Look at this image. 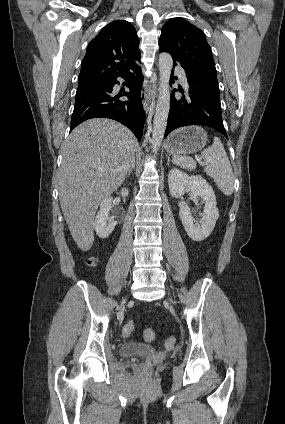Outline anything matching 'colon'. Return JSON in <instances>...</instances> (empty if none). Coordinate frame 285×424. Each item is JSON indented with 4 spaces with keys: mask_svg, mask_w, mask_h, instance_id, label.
<instances>
[{
    "mask_svg": "<svg viewBox=\"0 0 285 424\" xmlns=\"http://www.w3.org/2000/svg\"><path fill=\"white\" fill-rule=\"evenodd\" d=\"M90 266H95L97 261L96 259L92 258L89 260ZM135 325L133 321L127 322L123 327V335L124 336H130L134 331ZM143 337L146 341H152L155 337L154 330L152 328H146L143 332ZM166 344L168 346H173L175 344V338L174 337H168L166 340Z\"/></svg>",
    "mask_w": 285,
    "mask_h": 424,
    "instance_id": "1",
    "label": "colon"
}]
</instances>
